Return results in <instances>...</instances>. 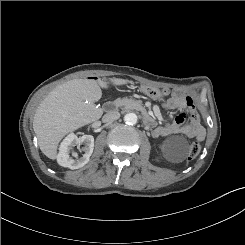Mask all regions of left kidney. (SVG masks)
<instances>
[{"label":"left kidney","instance_id":"obj_1","mask_svg":"<svg viewBox=\"0 0 245 245\" xmlns=\"http://www.w3.org/2000/svg\"><path fill=\"white\" fill-rule=\"evenodd\" d=\"M161 148H162V150L165 151V145H162ZM177 156H178L177 152L172 155L173 158H177Z\"/></svg>","mask_w":245,"mask_h":245}]
</instances>
